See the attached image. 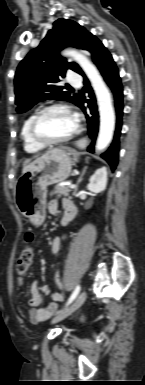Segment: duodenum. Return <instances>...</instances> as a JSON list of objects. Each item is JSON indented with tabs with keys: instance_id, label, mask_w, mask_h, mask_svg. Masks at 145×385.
<instances>
[{
	"instance_id": "1",
	"label": "duodenum",
	"mask_w": 145,
	"mask_h": 385,
	"mask_svg": "<svg viewBox=\"0 0 145 385\" xmlns=\"http://www.w3.org/2000/svg\"><path fill=\"white\" fill-rule=\"evenodd\" d=\"M72 218H73V213H72V211L67 210V211L65 212V215L63 216V219H62V221H61V224H62L63 226L67 225V224L69 223V221H70Z\"/></svg>"
}]
</instances>
